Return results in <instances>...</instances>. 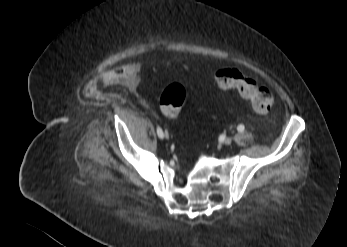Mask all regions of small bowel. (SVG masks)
I'll use <instances>...</instances> for the list:
<instances>
[{
    "label": "small bowel",
    "mask_w": 347,
    "mask_h": 247,
    "mask_svg": "<svg viewBox=\"0 0 347 247\" xmlns=\"http://www.w3.org/2000/svg\"><path fill=\"white\" fill-rule=\"evenodd\" d=\"M138 75L139 67L137 64H124L118 68L109 69L106 74L101 77V80L102 82L118 80L129 89H136Z\"/></svg>",
    "instance_id": "1"
}]
</instances>
